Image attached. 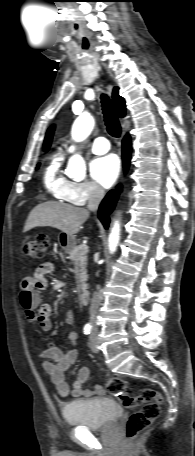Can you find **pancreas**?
<instances>
[{"mask_svg": "<svg viewBox=\"0 0 195 456\" xmlns=\"http://www.w3.org/2000/svg\"><path fill=\"white\" fill-rule=\"evenodd\" d=\"M69 259L71 262L79 268V274L77 277L78 283L81 289H85L87 281V256L86 251L82 250L80 246L73 247L69 252Z\"/></svg>", "mask_w": 195, "mask_h": 456, "instance_id": "cf45deb5", "label": "pancreas"}]
</instances>
